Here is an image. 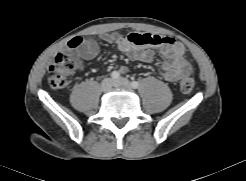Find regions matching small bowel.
Returning a JSON list of instances; mask_svg holds the SVG:
<instances>
[{
    "label": "small bowel",
    "instance_id": "obj_1",
    "mask_svg": "<svg viewBox=\"0 0 246 181\" xmlns=\"http://www.w3.org/2000/svg\"><path fill=\"white\" fill-rule=\"evenodd\" d=\"M142 35L144 34H104L101 39L104 42L116 44L120 51L129 54L133 59L145 62H153L157 59V53L153 47L158 48V53L162 59L160 74L167 82H176L191 73L192 65L185 57V49L180 41L163 36L161 37L163 41L158 45H144L138 42ZM99 51V42L89 38L78 46L75 54L79 59L92 60L98 55ZM127 70L125 66L119 69L121 73H126Z\"/></svg>",
    "mask_w": 246,
    "mask_h": 181
}]
</instances>
